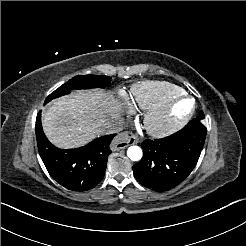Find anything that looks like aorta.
<instances>
[{"instance_id": "obj_1", "label": "aorta", "mask_w": 246, "mask_h": 246, "mask_svg": "<svg viewBox=\"0 0 246 246\" xmlns=\"http://www.w3.org/2000/svg\"><path fill=\"white\" fill-rule=\"evenodd\" d=\"M127 156L132 161H139L143 156L142 149L139 146H130L127 150Z\"/></svg>"}]
</instances>
